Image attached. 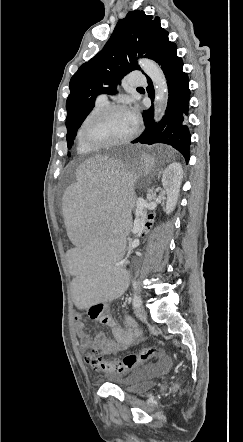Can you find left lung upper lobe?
Returning <instances> with one entry per match:
<instances>
[{"mask_svg":"<svg viewBox=\"0 0 243 442\" xmlns=\"http://www.w3.org/2000/svg\"><path fill=\"white\" fill-rule=\"evenodd\" d=\"M168 32L161 28L159 17L143 11H130L120 19L104 48L83 64L70 80L67 98V141L72 145L78 128L94 107L99 94H115L121 78L140 70L136 57L153 59Z\"/></svg>","mask_w":243,"mask_h":442,"instance_id":"1","label":"left lung upper lobe"}]
</instances>
